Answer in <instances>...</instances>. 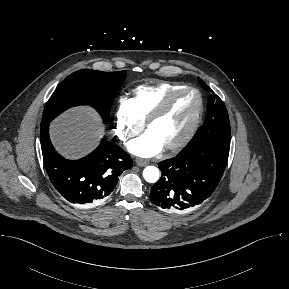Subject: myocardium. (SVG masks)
I'll return each instance as SVG.
<instances>
[{"label": "myocardium", "instance_id": "myocardium-1", "mask_svg": "<svg viewBox=\"0 0 289 289\" xmlns=\"http://www.w3.org/2000/svg\"><path fill=\"white\" fill-rule=\"evenodd\" d=\"M185 92H193L196 94L198 98V107L194 115V118L185 134L176 142L164 146V149L167 151H176L184 147L195 135L204 109L203 97L200 91L192 86H183L181 88L173 90L163 98V100L156 106V108L148 115V117L145 120V128L148 130L150 126L167 111L173 100L177 96Z\"/></svg>", "mask_w": 289, "mask_h": 289}]
</instances>
